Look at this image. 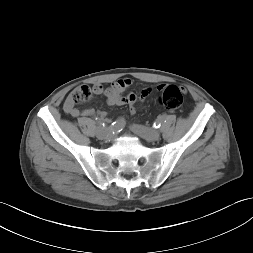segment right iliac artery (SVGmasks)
Returning <instances> with one entry per match:
<instances>
[{
  "instance_id": "1",
  "label": "right iliac artery",
  "mask_w": 253,
  "mask_h": 253,
  "mask_svg": "<svg viewBox=\"0 0 253 253\" xmlns=\"http://www.w3.org/2000/svg\"><path fill=\"white\" fill-rule=\"evenodd\" d=\"M98 127H105L106 123L103 120L96 118ZM125 126V119L119 118L117 121L111 124V129L114 131H121Z\"/></svg>"
}]
</instances>
